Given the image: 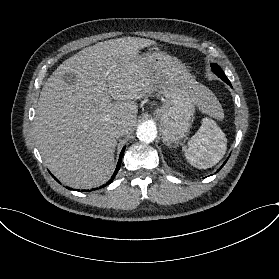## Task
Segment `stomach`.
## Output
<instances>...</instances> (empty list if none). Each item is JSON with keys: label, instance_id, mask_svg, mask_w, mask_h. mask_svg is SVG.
Here are the masks:
<instances>
[{"label": "stomach", "instance_id": "1", "mask_svg": "<svg viewBox=\"0 0 279 279\" xmlns=\"http://www.w3.org/2000/svg\"><path fill=\"white\" fill-rule=\"evenodd\" d=\"M151 61L155 72H162L168 88L162 90V105L155 110L162 128V141L166 145L187 136L195 113L196 100L185 78L189 74L185 65L176 57L156 50L143 54Z\"/></svg>", "mask_w": 279, "mask_h": 279}]
</instances>
